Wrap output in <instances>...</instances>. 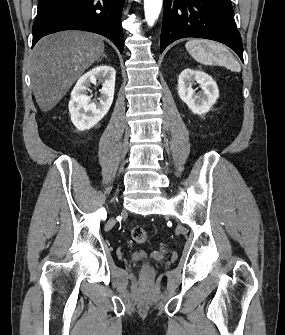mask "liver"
Returning a JSON list of instances; mask_svg holds the SVG:
<instances>
[{"label":"liver","mask_w":285,"mask_h":335,"mask_svg":"<svg viewBox=\"0 0 285 335\" xmlns=\"http://www.w3.org/2000/svg\"><path fill=\"white\" fill-rule=\"evenodd\" d=\"M104 50L102 36L90 32L72 30L42 38L30 58L31 86L40 110H53Z\"/></svg>","instance_id":"1"}]
</instances>
